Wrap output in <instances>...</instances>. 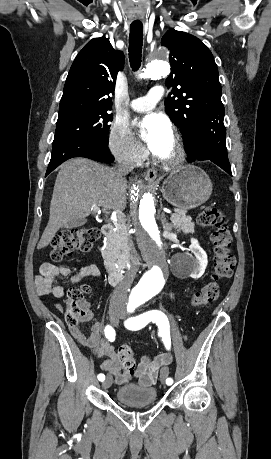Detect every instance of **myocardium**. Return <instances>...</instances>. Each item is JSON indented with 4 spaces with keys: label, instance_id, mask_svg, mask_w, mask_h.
I'll return each mask as SVG.
<instances>
[{
    "label": "myocardium",
    "instance_id": "myocardium-1",
    "mask_svg": "<svg viewBox=\"0 0 271 459\" xmlns=\"http://www.w3.org/2000/svg\"><path fill=\"white\" fill-rule=\"evenodd\" d=\"M171 137L173 141L172 152L166 156H161L153 152V157L159 162H162L168 165H176L180 163L184 157V146L179 136L174 131H172Z\"/></svg>",
    "mask_w": 271,
    "mask_h": 459
}]
</instances>
